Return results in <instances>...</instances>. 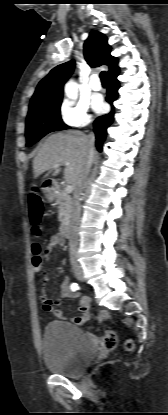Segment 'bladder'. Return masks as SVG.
<instances>
[{
  "mask_svg": "<svg viewBox=\"0 0 168 415\" xmlns=\"http://www.w3.org/2000/svg\"><path fill=\"white\" fill-rule=\"evenodd\" d=\"M42 353L44 363L51 372L78 377L94 360L96 349L80 328L52 321L44 328Z\"/></svg>",
  "mask_w": 168,
  "mask_h": 415,
  "instance_id": "obj_1",
  "label": "bladder"
}]
</instances>
